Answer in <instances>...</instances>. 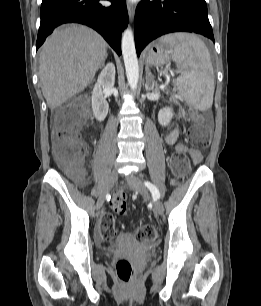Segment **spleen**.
Instances as JSON below:
<instances>
[{"instance_id": "1", "label": "spleen", "mask_w": 261, "mask_h": 306, "mask_svg": "<svg viewBox=\"0 0 261 306\" xmlns=\"http://www.w3.org/2000/svg\"><path fill=\"white\" fill-rule=\"evenodd\" d=\"M172 47L179 76L175 85L187 104L204 111L213 104L214 72L210 53L201 39L189 33H172L160 38Z\"/></svg>"}]
</instances>
